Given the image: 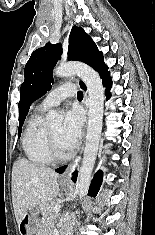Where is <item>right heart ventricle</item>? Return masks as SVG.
Listing matches in <instances>:
<instances>
[{
    "instance_id": "obj_1",
    "label": "right heart ventricle",
    "mask_w": 155,
    "mask_h": 235,
    "mask_svg": "<svg viewBox=\"0 0 155 235\" xmlns=\"http://www.w3.org/2000/svg\"><path fill=\"white\" fill-rule=\"evenodd\" d=\"M44 110L35 111L27 120L22 137V148L26 158L39 165L49 164L51 158L47 148V127L44 122Z\"/></svg>"
}]
</instances>
